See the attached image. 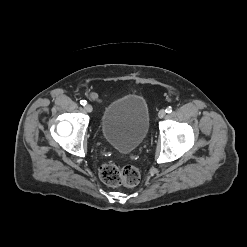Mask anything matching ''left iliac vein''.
<instances>
[{
    "label": "left iliac vein",
    "mask_w": 247,
    "mask_h": 247,
    "mask_svg": "<svg viewBox=\"0 0 247 247\" xmlns=\"http://www.w3.org/2000/svg\"><path fill=\"white\" fill-rule=\"evenodd\" d=\"M166 115V111L164 109H161L158 113L159 118H163Z\"/></svg>",
    "instance_id": "4c4485c4"
}]
</instances>
